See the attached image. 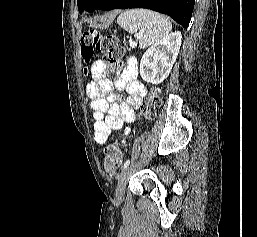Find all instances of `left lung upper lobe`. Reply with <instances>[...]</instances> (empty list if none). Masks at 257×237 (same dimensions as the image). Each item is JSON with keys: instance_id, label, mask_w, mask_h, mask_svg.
Masks as SVG:
<instances>
[{"instance_id": "left-lung-upper-lobe-1", "label": "left lung upper lobe", "mask_w": 257, "mask_h": 237, "mask_svg": "<svg viewBox=\"0 0 257 237\" xmlns=\"http://www.w3.org/2000/svg\"><path fill=\"white\" fill-rule=\"evenodd\" d=\"M110 0H77L79 11L86 9L89 12L102 9Z\"/></svg>"}]
</instances>
